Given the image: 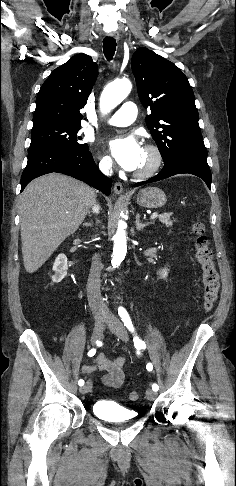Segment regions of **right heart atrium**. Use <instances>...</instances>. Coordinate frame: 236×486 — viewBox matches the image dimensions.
<instances>
[{"label": "right heart atrium", "instance_id": "obj_1", "mask_svg": "<svg viewBox=\"0 0 236 486\" xmlns=\"http://www.w3.org/2000/svg\"><path fill=\"white\" fill-rule=\"evenodd\" d=\"M98 167L103 173H110L113 168V163L108 156H99Z\"/></svg>", "mask_w": 236, "mask_h": 486}]
</instances>
